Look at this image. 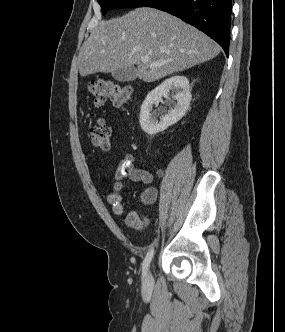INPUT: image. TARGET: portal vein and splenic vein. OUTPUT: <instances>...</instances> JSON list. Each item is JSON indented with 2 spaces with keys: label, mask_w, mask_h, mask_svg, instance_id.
Wrapping results in <instances>:
<instances>
[{
  "label": "portal vein and splenic vein",
  "mask_w": 285,
  "mask_h": 332,
  "mask_svg": "<svg viewBox=\"0 0 285 332\" xmlns=\"http://www.w3.org/2000/svg\"><path fill=\"white\" fill-rule=\"evenodd\" d=\"M141 61H142L143 63H148V62H149V57H148V56L142 57V58H141ZM161 65H162V64H151L150 67H151V68H155V67H159V66H161Z\"/></svg>",
  "instance_id": "1"
}]
</instances>
